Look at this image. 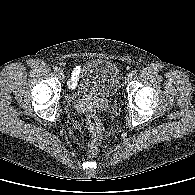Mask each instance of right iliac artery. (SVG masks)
<instances>
[{
	"instance_id": "82829eb1",
	"label": "right iliac artery",
	"mask_w": 195,
	"mask_h": 195,
	"mask_svg": "<svg viewBox=\"0 0 195 195\" xmlns=\"http://www.w3.org/2000/svg\"><path fill=\"white\" fill-rule=\"evenodd\" d=\"M54 71H58V68L57 67H53Z\"/></svg>"
}]
</instances>
